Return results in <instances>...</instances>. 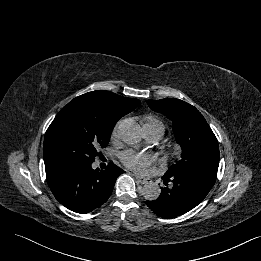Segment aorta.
Segmentation results:
<instances>
[{
	"label": "aorta",
	"instance_id": "obj_1",
	"mask_svg": "<svg viewBox=\"0 0 261 261\" xmlns=\"http://www.w3.org/2000/svg\"><path fill=\"white\" fill-rule=\"evenodd\" d=\"M119 136L128 145L136 146L142 140L140 125L131 119H126L119 125ZM161 193L160 187L154 182H148L143 186L142 194L147 200H156Z\"/></svg>",
	"mask_w": 261,
	"mask_h": 261
}]
</instances>
